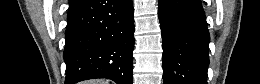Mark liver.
Masks as SVG:
<instances>
[{
	"mask_svg": "<svg viewBox=\"0 0 260 84\" xmlns=\"http://www.w3.org/2000/svg\"><path fill=\"white\" fill-rule=\"evenodd\" d=\"M86 84H109V83L108 81L103 79H96V80L88 81Z\"/></svg>",
	"mask_w": 260,
	"mask_h": 84,
	"instance_id": "6515ba94",
	"label": "liver"
}]
</instances>
